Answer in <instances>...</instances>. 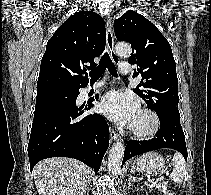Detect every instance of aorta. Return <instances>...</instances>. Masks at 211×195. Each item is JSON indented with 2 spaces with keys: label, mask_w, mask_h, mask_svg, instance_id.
<instances>
[{
  "label": "aorta",
  "mask_w": 211,
  "mask_h": 195,
  "mask_svg": "<svg viewBox=\"0 0 211 195\" xmlns=\"http://www.w3.org/2000/svg\"><path fill=\"white\" fill-rule=\"evenodd\" d=\"M115 50L116 53L122 57H129L132 51L131 46L127 43H118ZM124 150L125 147L122 140L115 142L110 149L108 156V171L113 175H117L121 170Z\"/></svg>",
  "instance_id": "aorta-1"
}]
</instances>
